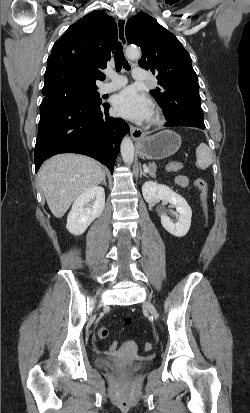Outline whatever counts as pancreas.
<instances>
[{
	"instance_id": "cf45deb5",
	"label": "pancreas",
	"mask_w": 250,
	"mask_h": 413,
	"mask_svg": "<svg viewBox=\"0 0 250 413\" xmlns=\"http://www.w3.org/2000/svg\"><path fill=\"white\" fill-rule=\"evenodd\" d=\"M156 169H157L156 164L152 163V164H149V165H148V172H149V175H150L151 177H155V176H156ZM166 169H167L168 171H173V170H175V168L170 167V166H167Z\"/></svg>"
}]
</instances>
